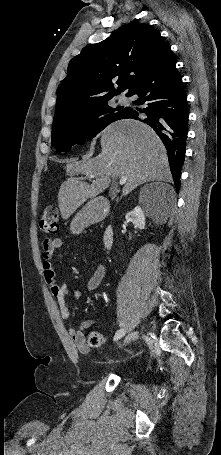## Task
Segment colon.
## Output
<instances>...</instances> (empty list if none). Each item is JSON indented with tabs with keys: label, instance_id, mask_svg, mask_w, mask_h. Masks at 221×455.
Masks as SVG:
<instances>
[{
	"label": "colon",
	"instance_id": "colon-1",
	"mask_svg": "<svg viewBox=\"0 0 221 455\" xmlns=\"http://www.w3.org/2000/svg\"><path fill=\"white\" fill-rule=\"evenodd\" d=\"M59 227V209L56 205H48L40 219V229L47 234H55ZM89 344L92 346H100L102 344V337L98 333H92L89 336Z\"/></svg>",
	"mask_w": 221,
	"mask_h": 455
}]
</instances>
